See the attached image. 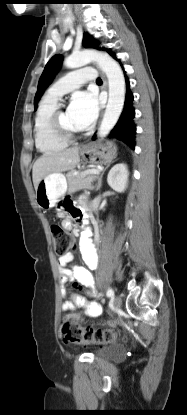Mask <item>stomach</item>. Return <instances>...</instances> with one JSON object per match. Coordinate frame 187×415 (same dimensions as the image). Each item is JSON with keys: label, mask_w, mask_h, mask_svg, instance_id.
<instances>
[{"label": "stomach", "mask_w": 187, "mask_h": 415, "mask_svg": "<svg viewBox=\"0 0 187 415\" xmlns=\"http://www.w3.org/2000/svg\"><path fill=\"white\" fill-rule=\"evenodd\" d=\"M84 158H89L91 163L106 165L117 155V147L112 141L105 144L87 146L81 150ZM67 191L66 177L62 173H51L45 176L36 189V202L38 206L47 211L55 207L61 197Z\"/></svg>", "instance_id": "obj_1"}]
</instances>
